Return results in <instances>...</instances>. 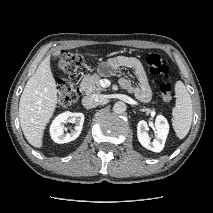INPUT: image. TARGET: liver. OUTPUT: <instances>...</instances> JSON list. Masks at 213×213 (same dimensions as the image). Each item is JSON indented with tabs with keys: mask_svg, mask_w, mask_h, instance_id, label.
I'll use <instances>...</instances> for the list:
<instances>
[{
	"mask_svg": "<svg viewBox=\"0 0 213 213\" xmlns=\"http://www.w3.org/2000/svg\"><path fill=\"white\" fill-rule=\"evenodd\" d=\"M57 100L56 83L47 56L27 81L19 102L22 131L36 148L42 147L44 129L55 111Z\"/></svg>",
	"mask_w": 213,
	"mask_h": 213,
	"instance_id": "obj_1",
	"label": "liver"
}]
</instances>
